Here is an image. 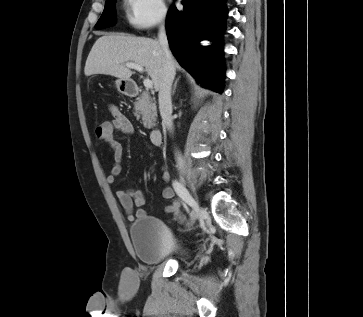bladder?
Here are the masks:
<instances>
[{
  "mask_svg": "<svg viewBox=\"0 0 363 317\" xmlns=\"http://www.w3.org/2000/svg\"><path fill=\"white\" fill-rule=\"evenodd\" d=\"M129 236L137 257L146 265L185 254L184 247L173 238L169 228L153 217L135 220L129 228Z\"/></svg>",
  "mask_w": 363,
  "mask_h": 317,
  "instance_id": "obj_1",
  "label": "bladder"
}]
</instances>
